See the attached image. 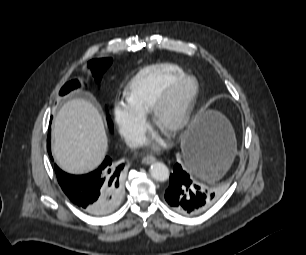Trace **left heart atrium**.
Returning a JSON list of instances; mask_svg holds the SVG:
<instances>
[{
    "label": "left heart atrium",
    "instance_id": "1",
    "mask_svg": "<svg viewBox=\"0 0 306 255\" xmlns=\"http://www.w3.org/2000/svg\"><path fill=\"white\" fill-rule=\"evenodd\" d=\"M156 144H159V141H158V139H156Z\"/></svg>",
    "mask_w": 306,
    "mask_h": 255
}]
</instances>
